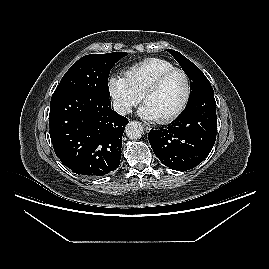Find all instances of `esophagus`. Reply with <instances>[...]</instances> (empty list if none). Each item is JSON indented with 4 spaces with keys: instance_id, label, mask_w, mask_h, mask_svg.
Wrapping results in <instances>:
<instances>
[{
    "instance_id": "obj_1",
    "label": "esophagus",
    "mask_w": 269,
    "mask_h": 269,
    "mask_svg": "<svg viewBox=\"0 0 269 269\" xmlns=\"http://www.w3.org/2000/svg\"><path fill=\"white\" fill-rule=\"evenodd\" d=\"M143 127H144V129H145L146 132H149L151 130V128L148 127V126H146V125H143Z\"/></svg>"
}]
</instances>
